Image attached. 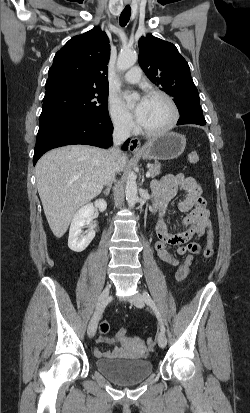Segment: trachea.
<instances>
[{"mask_svg":"<svg viewBox=\"0 0 250 413\" xmlns=\"http://www.w3.org/2000/svg\"><path fill=\"white\" fill-rule=\"evenodd\" d=\"M130 15H131V7L129 5L125 6L124 10L122 11L121 15H120V25L122 27L126 26L127 23L129 22L130 19Z\"/></svg>","mask_w":250,"mask_h":413,"instance_id":"3493384b","label":"trachea"}]
</instances>
